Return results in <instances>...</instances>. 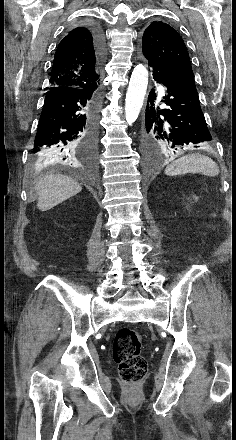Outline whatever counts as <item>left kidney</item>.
Instances as JSON below:
<instances>
[{
  "label": "left kidney",
  "instance_id": "1",
  "mask_svg": "<svg viewBox=\"0 0 236 440\" xmlns=\"http://www.w3.org/2000/svg\"><path fill=\"white\" fill-rule=\"evenodd\" d=\"M193 198H195V200H197V197H193Z\"/></svg>",
  "mask_w": 236,
  "mask_h": 440
}]
</instances>
